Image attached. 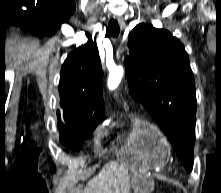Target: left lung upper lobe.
<instances>
[{"mask_svg":"<svg viewBox=\"0 0 221 193\" xmlns=\"http://www.w3.org/2000/svg\"><path fill=\"white\" fill-rule=\"evenodd\" d=\"M128 46L124 62L131 96L146 107L191 171L197 101L183 44L168 31L142 23L131 32Z\"/></svg>","mask_w":221,"mask_h":193,"instance_id":"1","label":"left lung upper lobe"}]
</instances>
